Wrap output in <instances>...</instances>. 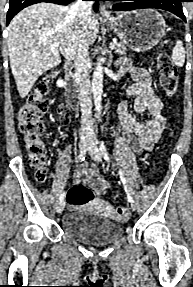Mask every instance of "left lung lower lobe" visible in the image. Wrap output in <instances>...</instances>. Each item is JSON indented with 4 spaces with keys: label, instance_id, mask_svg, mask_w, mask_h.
Wrapping results in <instances>:
<instances>
[{
    "label": "left lung lower lobe",
    "instance_id": "obj_1",
    "mask_svg": "<svg viewBox=\"0 0 193 287\" xmlns=\"http://www.w3.org/2000/svg\"><path fill=\"white\" fill-rule=\"evenodd\" d=\"M111 1H134L126 5H114L112 8L115 11H127L143 8H158L163 9L179 16L183 21L186 22L182 10V2L185 0H111Z\"/></svg>",
    "mask_w": 193,
    "mask_h": 287
}]
</instances>
